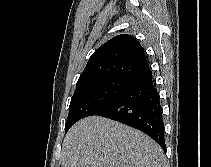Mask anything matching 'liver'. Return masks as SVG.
Here are the masks:
<instances>
[{"label":"liver","mask_w":211,"mask_h":167,"mask_svg":"<svg viewBox=\"0 0 211 167\" xmlns=\"http://www.w3.org/2000/svg\"><path fill=\"white\" fill-rule=\"evenodd\" d=\"M62 167H166L161 147L122 123L90 116L74 124L62 145Z\"/></svg>","instance_id":"1"}]
</instances>
